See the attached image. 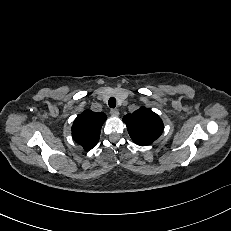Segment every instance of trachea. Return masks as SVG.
I'll list each match as a JSON object with an SVG mask.
<instances>
[{"instance_id": "3493384b", "label": "trachea", "mask_w": 231, "mask_h": 231, "mask_svg": "<svg viewBox=\"0 0 231 231\" xmlns=\"http://www.w3.org/2000/svg\"><path fill=\"white\" fill-rule=\"evenodd\" d=\"M108 105H109V107H111V108H115V106H116V99H115L114 97H111V98L109 99V101H108Z\"/></svg>"}]
</instances>
